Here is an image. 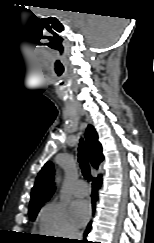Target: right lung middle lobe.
<instances>
[{
  "label": "right lung middle lobe",
  "instance_id": "right-lung-middle-lobe-1",
  "mask_svg": "<svg viewBox=\"0 0 154 243\" xmlns=\"http://www.w3.org/2000/svg\"><path fill=\"white\" fill-rule=\"evenodd\" d=\"M39 210H40V205L29 208V215L32 220L36 218V215L38 214Z\"/></svg>",
  "mask_w": 154,
  "mask_h": 243
}]
</instances>
